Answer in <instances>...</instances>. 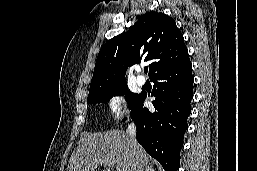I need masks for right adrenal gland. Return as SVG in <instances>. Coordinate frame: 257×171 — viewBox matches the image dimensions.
Listing matches in <instances>:
<instances>
[{
	"label": "right adrenal gland",
	"instance_id": "obj_1",
	"mask_svg": "<svg viewBox=\"0 0 257 171\" xmlns=\"http://www.w3.org/2000/svg\"><path fill=\"white\" fill-rule=\"evenodd\" d=\"M144 171H155L153 168H145Z\"/></svg>",
	"mask_w": 257,
	"mask_h": 171
}]
</instances>
